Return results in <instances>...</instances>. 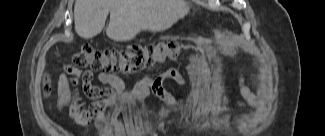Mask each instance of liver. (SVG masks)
Here are the masks:
<instances>
[{
    "label": "liver",
    "mask_w": 325,
    "mask_h": 136,
    "mask_svg": "<svg viewBox=\"0 0 325 136\" xmlns=\"http://www.w3.org/2000/svg\"><path fill=\"white\" fill-rule=\"evenodd\" d=\"M189 12L186 0H76V33L84 39L98 35L110 13L107 36L125 42L141 31L162 32Z\"/></svg>",
    "instance_id": "6515ba94"
}]
</instances>
